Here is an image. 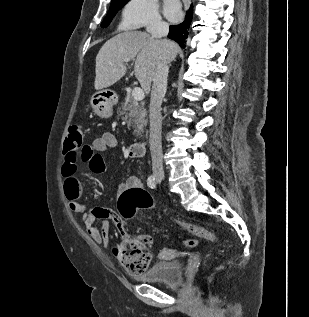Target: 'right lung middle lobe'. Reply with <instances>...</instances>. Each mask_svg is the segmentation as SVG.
Listing matches in <instances>:
<instances>
[{
  "instance_id": "1",
  "label": "right lung middle lobe",
  "mask_w": 309,
  "mask_h": 317,
  "mask_svg": "<svg viewBox=\"0 0 309 317\" xmlns=\"http://www.w3.org/2000/svg\"><path fill=\"white\" fill-rule=\"evenodd\" d=\"M128 1L129 0H112L108 14L103 20L101 26L107 27L111 22L112 18L114 17V15L117 13V11L121 9L124 6V4Z\"/></svg>"
}]
</instances>
